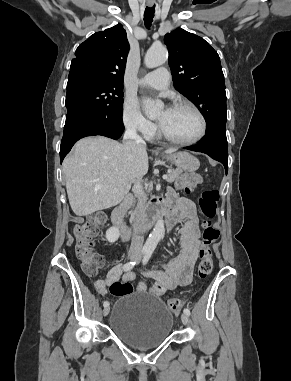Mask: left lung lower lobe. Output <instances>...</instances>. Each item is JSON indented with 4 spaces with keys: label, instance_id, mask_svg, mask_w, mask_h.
I'll return each instance as SVG.
<instances>
[{
    "label": "left lung lower lobe",
    "instance_id": "obj_1",
    "mask_svg": "<svg viewBox=\"0 0 291 381\" xmlns=\"http://www.w3.org/2000/svg\"><path fill=\"white\" fill-rule=\"evenodd\" d=\"M184 149L202 152L211 158L221 162L228 171V143L226 132H218L206 134L203 139L196 145L184 147Z\"/></svg>",
    "mask_w": 291,
    "mask_h": 381
}]
</instances>
